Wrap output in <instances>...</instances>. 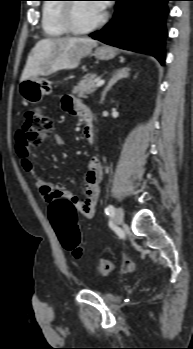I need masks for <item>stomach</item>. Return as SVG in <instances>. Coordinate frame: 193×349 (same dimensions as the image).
Segmentation results:
<instances>
[{"instance_id": "0dacf381", "label": "stomach", "mask_w": 193, "mask_h": 349, "mask_svg": "<svg viewBox=\"0 0 193 349\" xmlns=\"http://www.w3.org/2000/svg\"><path fill=\"white\" fill-rule=\"evenodd\" d=\"M117 55L116 49L109 46H102L95 50L94 56L99 60H111ZM52 91L51 82L40 77H30L19 84V92L22 99L29 103H39L45 95Z\"/></svg>"}]
</instances>
